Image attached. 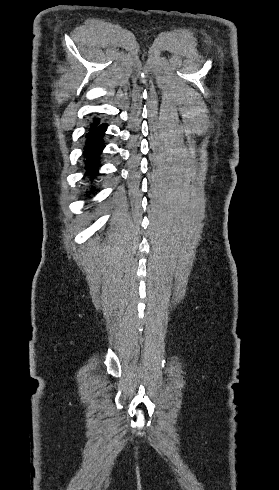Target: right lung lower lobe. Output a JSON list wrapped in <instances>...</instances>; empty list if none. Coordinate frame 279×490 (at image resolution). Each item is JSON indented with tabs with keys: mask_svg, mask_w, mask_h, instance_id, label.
<instances>
[{
	"mask_svg": "<svg viewBox=\"0 0 279 490\" xmlns=\"http://www.w3.org/2000/svg\"><path fill=\"white\" fill-rule=\"evenodd\" d=\"M106 129L107 125L103 124L96 129L90 130L86 134V143L84 146L85 175L88 182L91 181V184H93L92 180L98 175L100 155L105 147L102 138ZM90 187L92 189L89 194L87 193L85 195L86 197H91L90 194H93L96 191L93 185Z\"/></svg>",
	"mask_w": 279,
	"mask_h": 490,
	"instance_id": "obj_1",
	"label": "right lung lower lobe"
}]
</instances>
